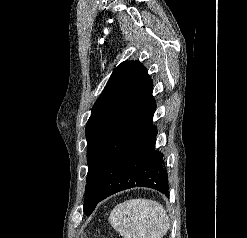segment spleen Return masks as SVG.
Instances as JSON below:
<instances>
[{
  "instance_id": "1",
  "label": "spleen",
  "mask_w": 247,
  "mask_h": 238,
  "mask_svg": "<svg viewBox=\"0 0 247 238\" xmlns=\"http://www.w3.org/2000/svg\"><path fill=\"white\" fill-rule=\"evenodd\" d=\"M109 222L124 238H162L169 229L166 210L151 199H130L118 204Z\"/></svg>"
}]
</instances>
